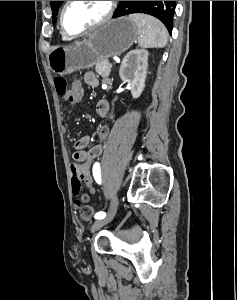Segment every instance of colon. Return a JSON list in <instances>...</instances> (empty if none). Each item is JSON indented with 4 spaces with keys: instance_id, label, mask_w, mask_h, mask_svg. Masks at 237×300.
I'll return each mask as SVG.
<instances>
[{
    "instance_id": "5ec220e1",
    "label": "colon",
    "mask_w": 237,
    "mask_h": 300,
    "mask_svg": "<svg viewBox=\"0 0 237 300\" xmlns=\"http://www.w3.org/2000/svg\"><path fill=\"white\" fill-rule=\"evenodd\" d=\"M54 85L56 92L59 96L64 97L71 105H77L83 96V89L80 88L75 92L71 93L68 90V83L66 79L62 77H57L54 79ZM81 188V176L78 172L74 171L72 173V189L73 193L77 195ZM87 195H83L75 200V206L80 208V213L82 218L89 219L93 214V209L87 203Z\"/></svg>"
}]
</instances>
